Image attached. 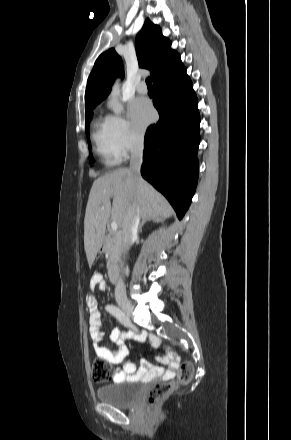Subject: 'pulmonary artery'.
Segmentation results:
<instances>
[{
	"label": "pulmonary artery",
	"instance_id": "1",
	"mask_svg": "<svg viewBox=\"0 0 291 440\" xmlns=\"http://www.w3.org/2000/svg\"><path fill=\"white\" fill-rule=\"evenodd\" d=\"M137 92H138L139 94H147V92H148V88H147V85H146V83H145L144 81H141V82L138 84V86H137Z\"/></svg>",
	"mask_w": 291,
	"mask_h": 440
}]
</instances>
